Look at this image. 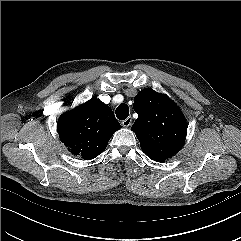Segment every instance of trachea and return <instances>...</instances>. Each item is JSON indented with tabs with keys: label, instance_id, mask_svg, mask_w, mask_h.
<instances>
[{
	"label": "trachea",
	"instance_id": "obj_1",
	"mask_svg": "<svg viewBox=\"0 0 241 241\" xmlns=\"http://www.w3.org/2000/svg\"><path fill=\"white\" fill-rule=\"evenodd\" d=\"M129 115V107L126 104H121L116 108V116L119 120H125Z\"/></svg>",
	"mask_w": 241,
	"mask_h": 241
}]
</instances>
